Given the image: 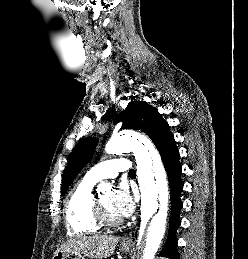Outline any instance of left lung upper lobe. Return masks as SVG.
Here are the masks:
<instances>
[{"label": "left lung upper lobe", "mask_w": 248, "mask_h": 259, "mask_svg": "<svg viewBox=\"0 0 248 259\" xmlns=\"http://www.w3.org/2000/svg\"><path fill=\"white\" fill-rule=\"evenodd\" d=\"M121 120L122 129L141 130L151 138L157 149L174 140L168 123L162 119L156 108L146 102L131 101L126 110L114 119V123ZM97 142L95 137L83 139L73 150L62 178V195L78 172L91 160Z\"/></svg>", "instance_id": "1"}]
</instances>
